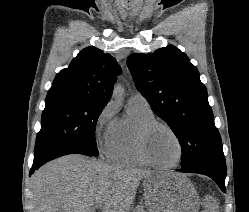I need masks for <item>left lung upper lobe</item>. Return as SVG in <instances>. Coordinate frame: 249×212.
<instances>
[{"mask_svg": "<svg viewBox=\"0 0 249 212\" xmlns=\"http://www.w3.org/2000/svg\"><path fill=\"white\" fill-rule=\"evenodd\" d=\"M127 65L153 112L178 138L181 168L223 154L206 87L184 53L169 45L150 54H131Z\"/></svg>", "mask_w": 249, "mask_h": 212, "instance_id": "left-lung-upper-lobe-1", "label": "left lung upper lobe"}]
</instances>
